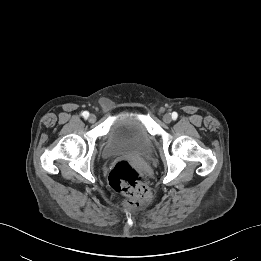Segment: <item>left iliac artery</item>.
Masks as SVG:
<instances>
[{"label":"left iliac artery","instance_id":"44dca946","mask_svg":"<svg viewBox=\"0 0 261 261\" xmlns=\"http://www.w3.org/2000/svg\"><path fill=\"white\" fill-rule=\"evenodd\" d=\"M177 116H178V114H177L176 112H173V113H172V118H173V119H176Z\"/></svg>","mask_w":261,"mask_h":261}]
</instances>
